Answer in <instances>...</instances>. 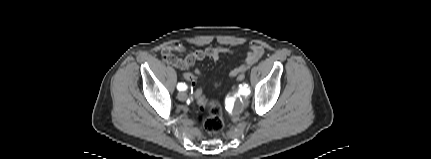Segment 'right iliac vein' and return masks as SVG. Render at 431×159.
I'll return each instance as SVG.
<instances>
[{"label":"right iliac vein","mask_w":431,"mask_h":159,"mask_svg":"<svg viewBox=\"0 0 431 159\" xmlns=\"http://www.w3.org/2000/svg\"><path fill=\"white\" fill-rule=\"evenodd\" d=\"M177 97L180 101H185L187 98V94L185 92H179Z\"/></svg>","instance_id":"obj_1"}]
</instances>
